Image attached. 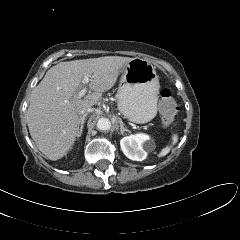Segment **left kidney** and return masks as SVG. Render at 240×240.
I'll return each instance as SVG.
<instances>
[{
    "label": "left kidney",
    "instance_id": "5707ae66",
    "mask_svg": "<svg viewBox=\"0 0 240 240\" xmlns=\"http://www.w3.org/2000/svg\"><path fill=\"white\" fill-rule=\"evenodd\" d=\"M120 146L125 156L134 161H143L147 152L153 149V143L146 134H136L123 137Z\"/></svg>",
    "mask_w": 240,
    "mask_h": 240
}]
</instances>
